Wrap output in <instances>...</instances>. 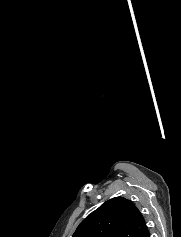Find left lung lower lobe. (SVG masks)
Returning <instances> with one entry per match:
<instances>
[{
    "label": "left lung lower lobe",
    "mask_w": 181,
    "mask_h": 237,
    "mask_svg": "<svg viewBox=\"0 0 181 237\" xmlns=\"http://www.w3.org/2000/svg\"><path fill=\"white\" fill-rule=\"evenodd\" d=\"M141 237H150L149 230L146 229L144 233L141 235Z\"/></svg>",
    "instance_id": "1"
}]
</instances>
